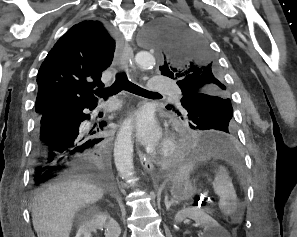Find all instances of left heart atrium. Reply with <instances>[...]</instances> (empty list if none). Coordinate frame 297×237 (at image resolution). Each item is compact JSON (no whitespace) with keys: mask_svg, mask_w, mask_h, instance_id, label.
<instances>
[{"mask_svg":"<svg viewBox=\"0 0 297 237\" xmlns=\"http://www.w3.org/2000/svg\"><path fill=\"white\" fill-rule=\"evenodd\" d=\"M132 126L141 144L154 146L158 143L161 130L156 118L150 111H137L134 114Z\"/></svg>","mask_w":297,"mask_h":237,"instance_id":"1","label":"left heart atrium"}]
</instances>
